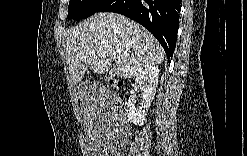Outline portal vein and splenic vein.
<instances>
[{
  "label": "portal vein and splenic vein",
  "instance_id": "portal-vein-and-splenic-vein-1",
  "mask_svg": "<svg viewBox=\"0 0 247 156\" xmlns=\"http://www.w3.org/2000/svg\"><path fill=\"white\" fill-rule=\"evenodd\" d=\"M118 58H115L114 60L117 61Z\"/></svg>",
  "mask_w": 247,
  "mask_h": 156
}]
</instances>
